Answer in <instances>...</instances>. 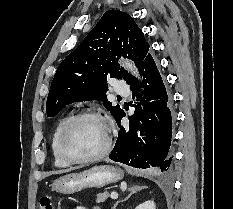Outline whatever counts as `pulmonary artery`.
Instances as JSON below:
<instances>
[{
	"label": "pulmonary artery",
	"instance_id": "obj_1",
	"mask_svg": "<svg viewBox=\"0 0 233 209\" xmlns=\"http://www.w3.org/2000/svg\"><path fill=\"white\" fill-rule=\"evenodd\" d=\"M114 90L117 94H129L130 93V88L129 86L122 80H117L115 83Z\"/></svg>",
	"mask_w": 233,
	"mask_h": 209
}]
</instances>
